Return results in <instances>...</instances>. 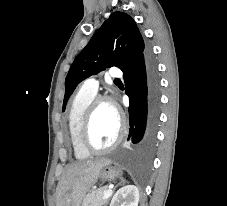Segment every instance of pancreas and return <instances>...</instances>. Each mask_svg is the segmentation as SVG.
<instances>
[{"label":"pancreas","instance_id":"obj_1","mask_svg":"<svg viewBox=\"0 0 227 206\" xmlns=\"http://www.w3.org/2000/svg\"><path fill=\"white\" fill-rule=\"evenodd\" d=\"M107 187H100L88 193L82 202L81 206H103L108 202V199H102Z\"/></svg>","mask_w":227,"mask_h":206}]
</instances>
